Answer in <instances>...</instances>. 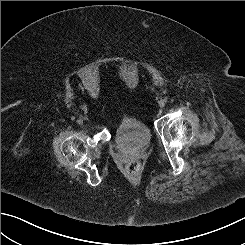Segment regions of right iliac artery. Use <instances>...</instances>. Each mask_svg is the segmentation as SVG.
Returning <instances> with one entry per match:
<instances>
[{
  "mask_svg": "<svg viewBox=\"0 0 245 245\" xmlns=\"http://www.w3.org/2000/svg\"><path fill=\"white\" fill-rule=\"evenodd\" d=\"M71 120L74 121L75 120V116H71Z\"/></svg>",
  "mask_w": 245,
  "mask_h": 245,
  "instance_id": "1",
  "label": "right iliac artery"
}]
</instances>
